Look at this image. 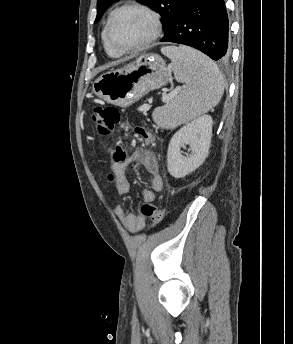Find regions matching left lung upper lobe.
Listing matches in <instances>:
<instances>
[{
  "label": "left lung upper lobe",
  "mask_w": 293,
  "mask_h": 344,
  "mask_svg": "<svg viewBox=\"0 0 293 344\" xmlns=\"http://www.w3.org/2000/svg\"><path fill=\"white\" fill-rule=\"evenodd\" d=\"M119 0H97V17L95 22L99 21L103 13L114 2ZM137 2L147 5L157 11L162 16V24L165 34L170 30L179 13L180 7L184 0H136Z\"/></svg>",
  "instance_id": "obj_1"
}]
</instances>
